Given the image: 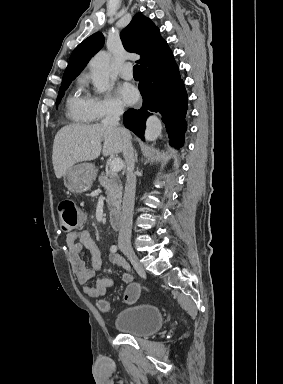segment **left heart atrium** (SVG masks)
Returning a JSON list of instances; mask_svg holds the SVG:
<instances>
[{
  "label": "left heart atrium",
  "instance_id": "obj_1",
  "mask_svg": "<svg viewBox=\"0 0 283 384\" xmlns=\"http://www.w3.org/2000/svg\"><path fill=\"white\" fill-rule=\"evenodd\" d=\"M118 92L123 103L128 106L134 105L138 101V91L129 84H122Z\"/></svg>",
  "mask_w": 283,
  "mask_h": 384
}]
</instances>
